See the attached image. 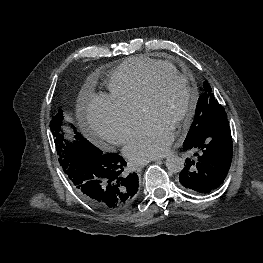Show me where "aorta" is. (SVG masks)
<instances>
[{
  "label": "aorta",
  "instance_id": "1",
  "mask_svg": "<svg viewBox=\"0 0 263 263\" xmlns=\"http://www.w3.org/2000/svg\"><path fill=\"white\" fill-rule=\"evenodd\" d=\"M166 167L172 173H179L184 168V160L178 155H170L166 158Z\"/></svg>",
  "mask_w": 263,
  "mask_h": 263
}]
</instances>
